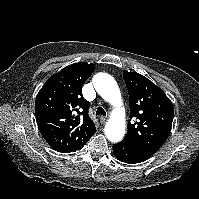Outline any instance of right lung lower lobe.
<instances>
[{
    "label": "right lung lower lobe",
    "instance_id": "1",
    "mask_svg": "<svg viewBox=\"0 0 199 199\" xmlns=\"http://www.w3.org/2000/svg\"><path fill=\"white\" fill-rule=\"evenodd\" d=\"M84 145H85V144H84ZM84 145L80 146L79 148H77V149H75V150H73V151H69V152H74V151H76V150H79V149H81ZM64 153H67V152H64Z\"/></svg>",
    "mask_w": 199,
    "mask_h": 199
}]
</instances>
